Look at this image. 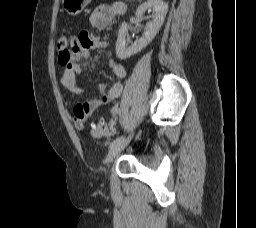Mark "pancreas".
I'll use <instances>...</instances> for the list:
<instances>
[{
  "label": "pancreas",
  "instance_id": "cf45deb5",
  "mask_svg": "<svg viewBox=\"0 0 256 228\" xmlns=\"http://www.w3.org/2000/svg\"><path fill=\"white\" fill-rule=\"evenodd\" d=\"M128 2H131L132 0H127Z\"/></svg>",
  "mask_w": 256,
  "mask_h": 228
}]
</instances>
